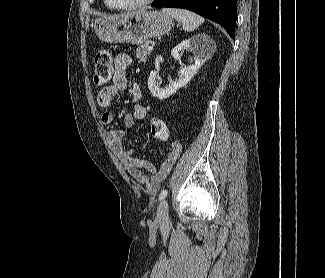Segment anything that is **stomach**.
Segmentation results:
<instances>
[{
	"instance_id": "obj_1",
	"label": "stomach",
	"mask_w": 325,
	"mask_h": 278,
	"mask_svg": "<svg viewBox=\"0 0 325 278\" xmlns=\"http://www.w3.org/2000/svg\"><path fill=\"white\" fill-rule=\"evenodd\" d=\"M92 26L103 42L141 45L168 33L173 18L162 11L139 10L123 17L96 18Z\"/></svg>"
}]
</instances>
